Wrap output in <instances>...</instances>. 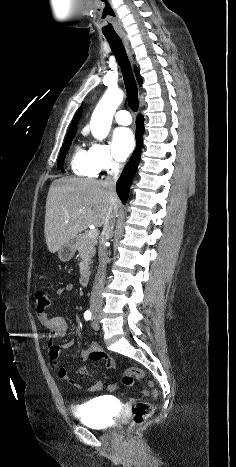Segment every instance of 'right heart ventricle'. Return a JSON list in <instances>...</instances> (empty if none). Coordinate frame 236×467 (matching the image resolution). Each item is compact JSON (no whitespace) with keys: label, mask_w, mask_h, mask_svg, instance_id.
Returning <instances> with one entry per match:
<instances>
[{"label":"right heart ventricle","mask_w":236,"mask_h":467,"mask_svg":"<svg viewBox=\"0 0 236 467\" xmlns=\"http://www.w3.org/2000/svg\"><path fill=\"white\" fill-rule=\"evenodd\" d=\"M71 169L74 174L89 178H95L99 173L91 163L89 151H86L80 145L76 146L73 152L71 158Z\"/></svg>","instance_id":"1"}]
</instances>
